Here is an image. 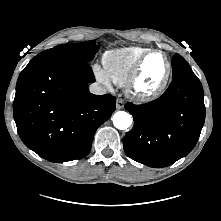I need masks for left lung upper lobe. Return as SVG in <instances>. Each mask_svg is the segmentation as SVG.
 Here are the masks:
<instances>
[{
	"instance_id": "obj_1",
	"label": "left lung upper lobe",
	"mask_w": 221,
	"mask_h": 221,
	"mask_svg": "<svg viewBox=\"0 0 221 221\" xmlns=\"http://www.w3.org/2000/svg\"><path fill=\"white\" fill-rule=\"evenodd\" d=\"M186 73H193V71L186 60L176 54L172 59V79H176Z\"/></svg>"
}]
</instances>
